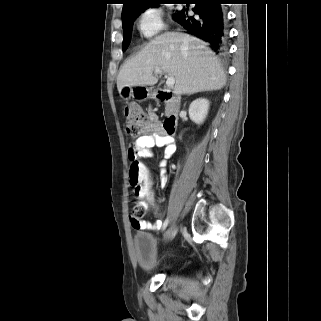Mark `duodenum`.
Wrapping results in <instances>:
<instances>
[{"instance_id":"obj_1","label":"duodenum","mask_w":321,"mask_h":321,"mask_svg":"<svg viewBox=\"0 0 321 321\" xmlns=\"http://www.w3.org/2000/svg\"><path fill=\"white\" fill-rule=\"evenodd\" d=\"M155 97L163 102L169 103L174 109H176L179 105V98L173 94L172 92L160 89L155 93ZM177 125V114L172 113L163 123V129L166 134L173 135L176 131Z\"/></svg>"}]
</instances>
